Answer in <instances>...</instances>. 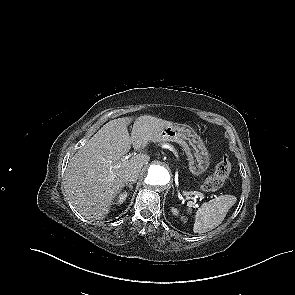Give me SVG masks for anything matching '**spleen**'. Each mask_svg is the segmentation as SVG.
<instances>
[{
    "label": "spleen",
    "mask_w": 295,
    "mask_h": 295,
    "mask_svg": "<svg viewBox=\"0 0 295 295\" xmlns=\"http://www.w3.org/2000/svg\"><path fill=\"white\" fill-rule=\"evenodd\" d=\"M233 195H221L203 203L195 213L194 233H205L222 223L229 209L236 203ZM193 202H189L187 213L192 212Z\"/></svg>",
    "instance_id": "1"
}]
</instances>
